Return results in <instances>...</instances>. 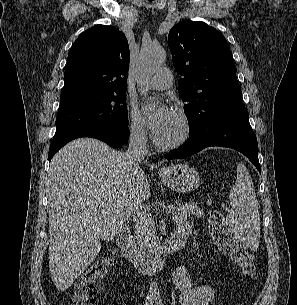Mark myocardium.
<instances>
[{
	"mask_svg": "<svg viewBox=\"0 0 297 305\" xmlns=\"http://www.w3.org/2000/svg\"><path fill=\"white\" fill-rule=\"evenodd\" d=\"M180 123L181 130L176 138L168 142L159 141L154 138L155 146L160 150H173L182 146L189 138L192 132L191 122L188 116L183 112H177L175 115Z\"/></svg>",
	"mask_w": 297,
	"mask_h": 305,
	"instance_id": "myocardium-1",
	"label": "myocardium"
}]
</instances>
